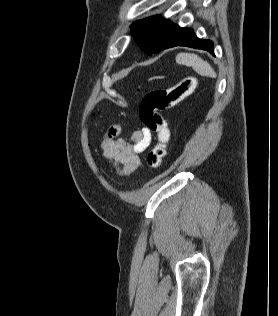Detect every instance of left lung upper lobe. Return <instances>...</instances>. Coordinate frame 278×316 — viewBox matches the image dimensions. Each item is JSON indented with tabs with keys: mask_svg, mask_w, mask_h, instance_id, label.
<instances>
[{
	"mask_svg": "<svg viewBox=\"0 0 278 316\" xmlns=\"http://www.w3.org/2000/svg\"><path fill=\"white\" fill-rule=\"evenodd\" d=\"M178 29V25L158 15L136 21L131 25L132 35L147 55L162 51Z\"/></svg>",
	"mask_w": 278,
	"mask_h": 316,
	"instance_id": "5c2ea615",
	"label": "left lung upper lobe"
}]
</instances>
